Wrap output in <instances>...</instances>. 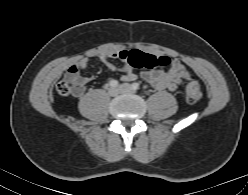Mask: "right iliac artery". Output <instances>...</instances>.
Segmentation results:
<instances>
[{"instance_id":"right-iliac-artery-1","label":"right iliac artery","mask_w":248,"mask_h":195,"mask_svg":"<svg viewBox=\"0 0 248 195\" xmlns=\"http://www.w3.org/2000/svg\"><path fill=\"white\" fill-rule=\"evenodd\" d=\"M109 85H110L111 87H117V86L119 85V82H118L117 80H111V81L109 82Z\"/></svg>"}]
</instances>
